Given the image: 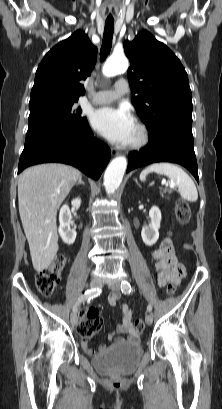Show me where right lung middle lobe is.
Listing matches in <instances>:
<instances>
[{
    "instance_id": "obj_1",
    "label": "right lung middle lobe",
    "mask_w": 222,
    "mask_h": 409,
    "mask_svg": "<svg viewBox=\"0 0 222 409\" xmlns=\"http://www.w3.org/2000/svg\"><path fill=\"white\" fill-rule=\"evenodd\" d=\"M75 102H51L30 108L25 144L42 135L73 139L81 133L88 122Z\"/></svg>"
}]
</instances>
